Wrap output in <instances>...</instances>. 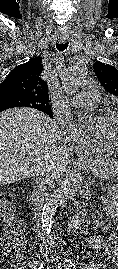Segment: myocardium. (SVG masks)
Returning a JSON list of instances; mask_svg holds the SVG:
<instances>
[{
    "mask_svg": "<svg viewBox=\"0 0 118 269\" xmlns=\"http://www.w3.org/2000/svg\"><path fill=\"white\" fill-rule=\"evenodd\" d=\"M116 114H118V106H113L105 113L104 117H111V116H114ZM95 143H96V145H101V146L110 148L118 153V143L115 141H112L108 138L96 136Z\"/></svg>",
    "mask_w": 118,
    "mask_h": 269,
    "instance_id": "myocardium-1",
    "label": "myocardium"
}]
</instances>
